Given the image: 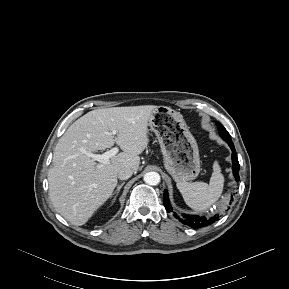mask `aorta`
Listing matches in <instances>:
<instances>
[{"label": "aorta", "mask_w": 289, "mask_h": 289, "mask_svg": "<svg viewBox=\"0 0 289 289\" xmlns=\"http://www.w3.org/2000/svg\"><path fill=\"white\" fill-rule=\"evenodd\" d=\"M144 181L148 185H157L160 183V175L157 172H147Z\"/></svg>", "instance_id": "1"}]
</instances>
